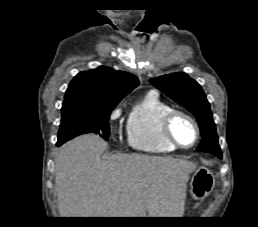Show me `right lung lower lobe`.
<instances>
[{
  "instance_id": "1",
  "label": "right lung lower lobe",
  "mask_w": 258,
  "mask_h": 227,
  "mask_svg": "<svg viewBox=\"0 0 258 227\" xmlns=\"http://www.w3.org/2000/svg\"><path fill=\"white\" fill-rule=\"evenodd\" d=\"M63 143L62 142H57V146H60L62 145Z\"/></svg>"
}]
</instances>
